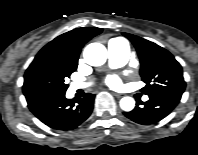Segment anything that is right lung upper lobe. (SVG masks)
<instances>
[{
    "mask_svg": "<svg viewBox=\"0 0 198 155\" xmlns=\"http://www.w3.org/2000/svg\"><path fill=\"white\" fill-rule=\"evenodd\" d=\"M101 32V28L83 27L64 33L44 46L33 62L46 58H60L65 61L78 62L84 44Z\"/></svg>",
    "mask_w": 198,
    "mask_h": 155,
    "instance_id": "right-lung-upper-lobe-1",
    "label": "right lung upper lobe"
}]
</instances>
